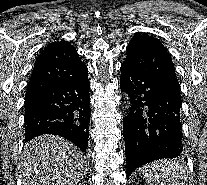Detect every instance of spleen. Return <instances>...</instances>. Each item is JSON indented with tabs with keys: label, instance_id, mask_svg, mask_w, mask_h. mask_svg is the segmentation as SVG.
Listing matches in <instances>:
<instances>
[{
	"label": "spleen",
	"instance_id": "spleen-1",
	"mask_svg": "<svg viewBox=\"0 0 207 185\" xmlns=\"http://www.w3.org/2000/svg\"><path fill=\"white\" fill-rule=\"evenodd\" d=\"M137 177H148L150 185H184V174L182 163L176 159H152L148 166H138Z\"/></svg>",
	"mask_w": 207,
	"mask_h": 185
}]
</instances>
